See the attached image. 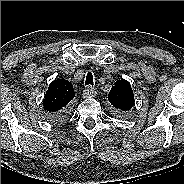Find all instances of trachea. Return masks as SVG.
Wrapping results in <instances>:
<instances>
[{"instance_id":"trachea-1","label":"trachea","mask_w":184,"mask_h":184,"mask_svg":"<svg viewBox=\"0 0 184 184\" xmlns=\"http://www.w3.org/2000/svg\"><path fill=\"white\" fill-rule=\"evenodd\" d=\"M85 85H91L93 86V75L91 72L87 73Z\"/></svg>"}]
</instances>
